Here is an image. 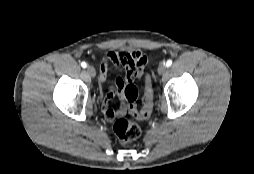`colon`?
I'll list each match as a JSON object with an SVG mask.
<instances>
[{"label":"colon","mask_w":254,"mask_h":174,"mask_svg":"<svg viewBox=\"0 0 254 174\" xmlns=\"http://www.w3.org/2000/svg\"><path fill=\"white\" fill-rule=\"evenodd\" d=\"M123 96L127 101V108L132 116L137 119H147L150 117L153 109V94L150 86L148 85L145 97L143 99V107L141 110L137 108L138 89L131 81L124 84L122 88ZM126 111L125 106H121L117 111V115L122 116ZM113 131L120 143H128L140 136L141 129L138 124L119 118L113 125Z\"/></svg>","instance_id":"obj_1"}]
</instances>
